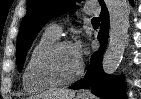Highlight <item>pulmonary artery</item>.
<instances>
[{"instance_id": "obj_1", "label": "pulmonary artery", "mask_w": 141, "mask_h": 99, "mask_svg": "<svg viewBox=\"0 0 141 99\" xmlns=\"http://www.w3.org/2000/svg\"><path fill=\"white\" fill-rule=\"evenodd\" d=\"M84 11L88 15H94L98 13L97 7L91 4L87 5ZM45 33L56 38L61 33V26L58 24H51L47 26Z\"/></svg>"}]
</instances>
